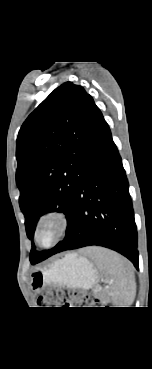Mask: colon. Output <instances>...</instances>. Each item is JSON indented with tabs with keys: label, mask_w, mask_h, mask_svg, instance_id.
Instances as JSON below:
<instances>
[{
	"label": "colon",
	"mask_w": 152,
	"mask_h": 369,
	"mask_svg": "<svg viewBox=\"0 0 152 369\" xmlns=\"http://www.w3.org/2000/svg\"><path fill=\"white\" fill-rule=\"evenodd\" d=\"M93 302L94 298L88 293L64 288L56 289L40 298V303L48 307H88Z\"/></svg>",
	"instance_id": "5ec220e1"
}]
</instances>
